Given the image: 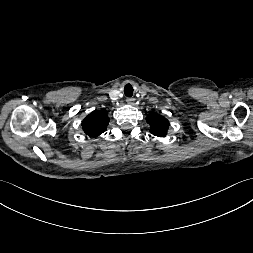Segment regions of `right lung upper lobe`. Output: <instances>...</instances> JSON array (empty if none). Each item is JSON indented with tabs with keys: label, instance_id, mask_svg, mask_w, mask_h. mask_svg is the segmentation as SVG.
<instances>
[{
	"label": "right lung upper lobe",
	"instance_id": "right-lung-upper-lobe-1",
	"mask_svg": "<svg viewBox=\"0 0 253 253\" xmlns=\"http://www.w3.org/2000/svg\"><path fill=\"white\" fill-rule=\"evenodd\" d=\"M108 123L107 111H93L82 121V127L88 136L96 137L106 131Z\"/></svg>",
	"mask_w": 253,
	"mask_h": 253
}]
</instances>
